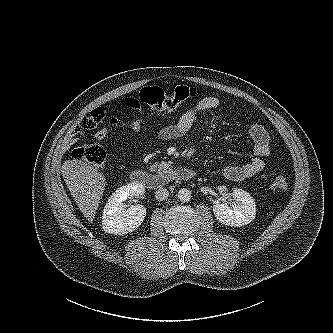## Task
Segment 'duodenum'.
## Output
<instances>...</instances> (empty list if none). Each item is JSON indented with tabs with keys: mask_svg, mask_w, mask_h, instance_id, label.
<instances>
[{
	"mask_svg": "<svg viewBox=\"0 0 333 333\" xmlns=\"http://www.w3.org/2000/svg\"><path fill=\"white\" fill-rule=\"evenodd\" d=\"M195 176V171L186 167L171 170L167 173H151L138 169L131 173V180L135 184L142 185L149 189H160L170 181H189L192 180Z\"/></svg>",
	"mask_w": 333,
	"mask_h": 333,
	"instance_id": "1",
	"label": "duodenum"
}]
</instances>
